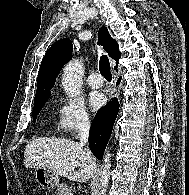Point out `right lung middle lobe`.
Masks as SVG:
<instances>
[{"instance_id": "dd1d6c3e", "label": "right lung middle lobe", "mask_w": 189, "mask_h": 195, "mask_svg": "<svg viewBox=\"0 0 189 195\" xmlns=\"http://www.w3.org/2000/svg\"><path fill=\"white\" fill-rule=\"evenodd\" d=\"M47 99H44V100H41V101L34 103L33 112H32V117H33L34 122L36 121L37 115L39 114L40 110L42 109V107L45 104V102L47 101Z\"/></svg>"}]
</instances>
